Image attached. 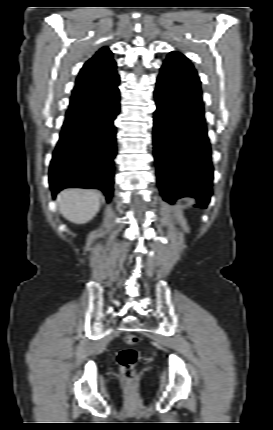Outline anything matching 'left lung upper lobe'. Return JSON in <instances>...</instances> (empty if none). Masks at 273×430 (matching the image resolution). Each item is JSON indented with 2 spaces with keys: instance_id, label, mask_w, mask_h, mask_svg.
<instances>
[{
  "instance_id": "1",
  "label": "left lung upper lobe",
  "mask_w": 273,
  "mask_h": 430,
  "mask_svg": "<svg viewBox=\"0 0 273 430\" xmlns=\"http://www.w3.org/2000/svg\"><path fill=\"white\" fill-rule=\"evenodd\" d=\"M161 74L171 80L179 78L178 88L202 99L201 82L191 62L181 53L170 52L161 68Z\"/></svg>"
}]
</instances>
